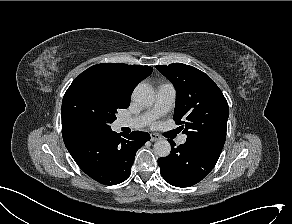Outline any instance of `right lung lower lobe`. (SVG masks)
<instances>
[{
  "instance_id": "1",
  "label": "right lung lower lobe",
  "mask_w": 292,
  "mask_h": 224,
  "mask_svg": "<svg viewBox=\"0 0 292 224\" xmlns=\"http://www.w3.org/2000/svg\"><path fill=\"white\" fill-rule=\"evenodd\" d=\"M66 148L77 165L92 179L114 185L125 181L131 173L137 150L150 140L146 132L119 134L80 126L62 127Z\"/></svg>"
}]
</instances>
